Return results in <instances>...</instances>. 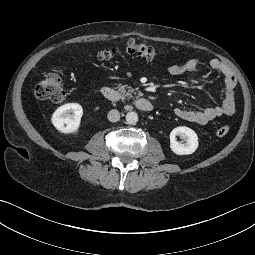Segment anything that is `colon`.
I'll return each mask as SVG.
<instances>
[{
	"mask_svg": "<svg viewBox=\"0 0 255 255\" xmlns=\"http://www.w3.org/2000/svg\"><path fill=\"white\" fill-rule=\"evenodd\" d=\"M124 51L128 53H136L147 59H153L157 56L154 47L138 43L134 39H128L124 46ZM117 53L114 48L104 49L98 53V57L109 59ZM35 96L41 100H48L54 103L62 102L65 98V91L62 87L61 76L58 71L53 70L45 74L43 79L36 85L34 90ZM229 132L228 126H220L217 129L219 136H225Z\"/></svg>",
	"mask_w": 255,
	"mask_h": 255,
	"instance_id": "obj_1",
	"label": "colon"
}]
</instances>
